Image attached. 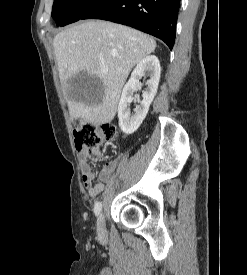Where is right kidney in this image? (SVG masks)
<instances>
[{
    "mask_svg": "<svg viewBox=\"0 0 247 275\" xmlns=\"http://www.w3.org/2000/svg\"><path fill=\"white\" fill-rule=\"evenodd\" d=\"M161 67L158 58L155 55H149L143 58L135 67L129 81L122 90L121 98L118 104L119 126L125 134L134 133L145 119L150 104L152 103L158 89ZM142 76H149L146 81L147 88L143 92V100L134 109V114H130V104L134 100L133 93L141 85L139 80Z\"/></svg>",
    "mask_w": 247,
    "mask_h": 275,
    "instance_id": "obj_1",
    "label": "right kidney"
}]
</instances>
